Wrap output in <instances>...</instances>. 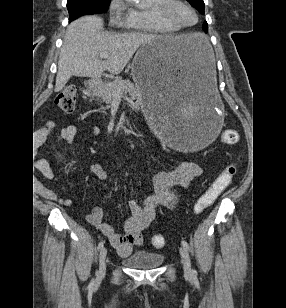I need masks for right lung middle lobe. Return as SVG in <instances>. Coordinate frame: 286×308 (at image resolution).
<instances>
[{
  "label": "right lung middle lobe",
  "instance_id": "obj_1",
  "mask_svg": "<svg viewBox=\"0 0 286 308\" xmlns=\"http://www.w3.org/2000/svg\"><path fill=\"white\" fill-rule=\"evenodd\" d=\"M111 0H68L69 21L82 15L105 13Z\"/></svg>",
  "mask_w": 286,
  "mask_h": 308
}]
</instances>
